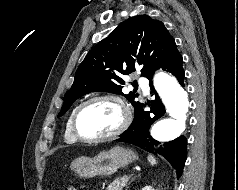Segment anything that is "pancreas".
<instances>
[{"instance_id":"cf45deb5","label":"pancreas","mask_w":238,"mask_h":190,"mask_svg":"<svg viewBox=\"0 0 238 190\" xmlns=\"http://www.w3.org/2000/svg\"><path fill=\"white\" fill-rule=\"evenodd\" d=\"M127 181L128 178L127 179L117 178L110 185H108L106 190H123V188L127 184Z\"/></svg>"}]
</instances>
